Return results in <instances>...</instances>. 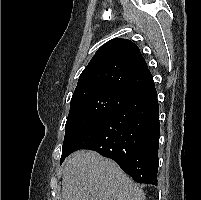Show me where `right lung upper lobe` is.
<instances>
[{
	"label": "right lung upper lobe",
	"mask_w": 201,
	"mask_h": 200,
	"mask_svg": "<svg viewBox=\"0 0 201 200\" xmlns=\"http://www.w3.org/2000/svg\"><path fill=\"white\" fill-rule=\"evenodd\" d=\"M155 87L138 47L130 40L115 38L101 46L81 73L73 93L107 90L128 98Z\"/></svg>",
	"instance_id": "cb5924a9"
}]
</instances>
